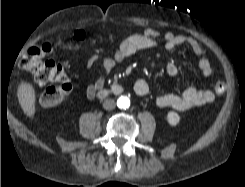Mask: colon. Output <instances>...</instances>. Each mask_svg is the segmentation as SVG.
<instances>
[{
    "instance_id": "1",
    "label": "colon",
    "mask_w": 245,
    "mask_h": 187,
    "mask_svg": "<svg viewBox=\"0 0 245 187\" xmlns=\"http://www.w3.org/2000/svg\"><path fill=\"white\" fill-rule=\"evenodd\" d=\"M85 34L76 32L75 41H83ZM51 52L48 43H41L31 46L23 56L20 67L29 72L35 82L47 85L40 95V103L44 107H53L67 98L72 90V83L65 67L52 60L45 59ZM226 90L224 82H216L214 91L216 94H223Z\"/></svg>"
}]
</instances>
